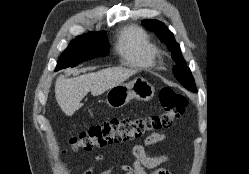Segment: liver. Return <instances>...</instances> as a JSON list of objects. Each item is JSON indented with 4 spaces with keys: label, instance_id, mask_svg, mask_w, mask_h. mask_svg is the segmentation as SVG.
Returning a JSON list of instances; mask_svg holds the SVG:
<instances>
[{
    "label": "liver",
    "instance_id": "obj_1",
    "mask_svg": "<svg viewBox=\"0 0 249 174\" xmlns=\"http://www.w3.org/2000/svg\"><path fill=\"white\" fill-rule=\"evenodd\" d=\"M136 73L135 69L113 67L75 78L66 79L61 75L56 79L55 98L65 115L71 116L82 107L81 101L88 92L101 95Z\"/></svg>",
    "mask_w": 249,
    "mask_h": 174
}]
</instances>
